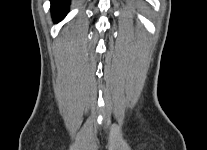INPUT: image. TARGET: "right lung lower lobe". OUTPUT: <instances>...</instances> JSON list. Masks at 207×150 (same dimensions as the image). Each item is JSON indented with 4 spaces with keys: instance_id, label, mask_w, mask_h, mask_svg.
<instances>
[{
    "instance_id": "obj_1",
    "label": "right lung lower lobe",
    "mask_w": 207,
    "mask_h": 150,
    "mask_svg": "<svg viewBox=\"0 0 207 150\" xmlns=\"http://www.w3.org/2000/svg\"><path fill=\"white\" fill-rule=\"evenodd\" d=\"M70 0H51V12L55 22L61 21L68 13Z\"/></svg>"
}]
</instances>
